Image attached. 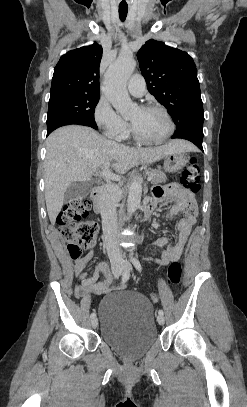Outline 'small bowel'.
Returning a JSON list of instances; mask_svg holds the SVG:
<instances>
[{
    "label": "small bowel",
    "instance_id": "small-bowel-1",
    "mask_svg": "<svg viewBox=\"0 0 247 407\" xmlns=\"http://www.w3.org/2000/svg\"><path fill=\"white\" fill-rule=\"evenodd\" d=\"M162 201L172 202L167 213L168 217H175L179 213L184 214V217L177 224L178 237L173 246L165 248L169 242V238L166 236L158 238L154 243L155 247L161 252V258L156 261V264L166 266L171 262H178L180 259L192 227L196 222V207L193 197L174 183L153 190L152 208ZM93 255L94 252L91 250L84 257L74 261L73 275L80 280V284L74 288L76 297H83L89 293L102 294L109 291V287L105 282L96 283L100 272L106 269L104 265H96L94 274L91 277H88L85 273V268L92 260Z\"/></svg>",
    "mask_w": 247,
    "mask_h": 407
}]
</instances>
